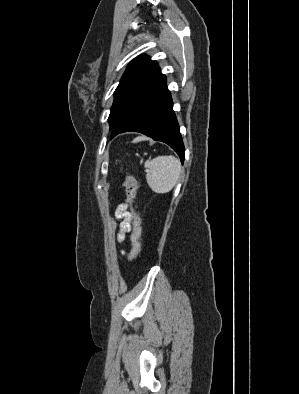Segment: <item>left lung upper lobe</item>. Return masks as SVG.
Instances as JSON below:
<instances>
[{"instance_id": "left-lung-upper-lobe-1", "label": "left lung upper lobe", "mask_w": 299, "mask_h": 394, "mask_svg": "<svg viewBox=\"0 0 299 394\" xmlns=\"http://www.w3.org/2000/svg\"><path fill=\"white\" fill-rule=\"evenodd\" d=\"M160 68L150 57L140 55L130 62L114 92L109 125L113 129L136 99L159 77Z\"/></svg>"}]
</instances>
